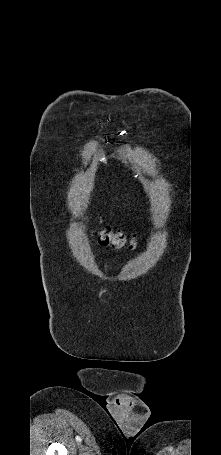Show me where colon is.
I'll return each instance as SVG.
<instances>
[{
    "mask_svg": "<svg viewBox=\"0 0 221 455\" xmlns=\"http://www.w3.org/2000/svg\"><path fill=\"white\" fill-rule=\"evenodd\" d=\"M95 235L104 246H112L114 248H122L127 244L132 247L133 242H129L126 235L120 230H112L109 227H101L95 230Z\"/></svg>",
    "mask_w": 221,
    "mask_h": 455,
    "instance_id": "colon-1",
    "label": "colon"
}]
</instances>
